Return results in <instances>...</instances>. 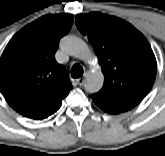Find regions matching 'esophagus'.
Returning a JSON list of instances; mask_svg holds the SVG:
<instances>
[{
  "label": "esophagus",
  "instance_id": "34e87169",
  "mask_svg": "<svg viewBox=\"0 0 165 156\" xmlns=\"http://www.w3.org/2000/svg\"><path fill=\"white\" fill-rule=\"evenodd\" d=\"M84 81H85L84 78H78L76 80L77 84L80 85V86H82L84 84Z\"/></svg>",
  "mask_w": 165,
  "mask_h": 156
}]
</instances>
